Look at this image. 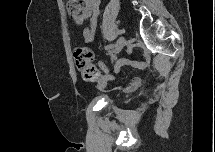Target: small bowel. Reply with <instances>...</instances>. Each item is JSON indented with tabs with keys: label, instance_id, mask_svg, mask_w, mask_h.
<instances>
[{
	"label": "small bowel",
	"instance_id": "obj_1",
	"mask_svg": "<svg viewBox=\"0 0 215 152\" xmlns=\"http://www.w3.org/2000/svg\"><path fill=\"white\" fill-rule=\"evenodd\" d=\"M99 18V1L98 0H85L82 8V13L79 17H74L73 21L76 26H81L85 19H89V24L83 30V39L86 44L91 43L96 36ZM127 61L122 62L116 67V72H119L121 65L126 64ZM99 71L97 75L89 81H95L101 88L106 85L107 80L114 77L110 75L108 67L103 63H98ZM141 87V79L137 76L133 77L130 83L125 86L124 92L127 94L133 93Z\"/></svg>",
	"mask_w": 215,
	"mask_h": 152
}]
</instances>
